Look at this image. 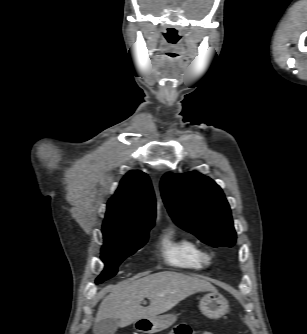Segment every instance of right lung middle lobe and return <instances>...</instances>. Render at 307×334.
I'll use <instances>...</instances> for the list:
<instances>
[{"mask_svg":"<svg viewBox=\"0 0 307 334\" xmlns=\"http://www.w3.org/2000/svg\"><path fill=\"white\" fill-rule=\"evenodd\" d=\"M150 229L151 227L116 234H104L101 259L105 263V269L96 279L97 284L113 277L117 273L120 263L147 242Z\"/></svg>","mask_w":307,"mask_h":334,"instance_id":"right-lung-middle-lobe-1","label":"right lung middle lobe"}]
</instances>
